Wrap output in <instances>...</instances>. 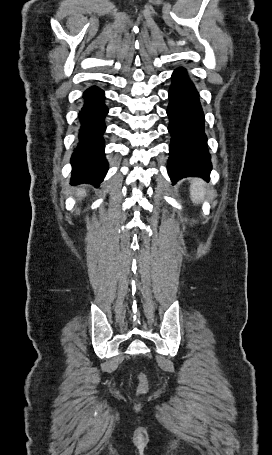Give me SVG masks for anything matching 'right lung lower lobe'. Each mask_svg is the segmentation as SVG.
<instances>
[{
  "label": "right lung lower lobe",
  "instance_id": "1",
  "mask_svg": "<svg viewBox=\"0 0 272 455\" xmlns=\"http://www.w3.org/2000/svg\"><path fill=\"white\" fill-rule=\"evenodd\" d=\"M84 105L80 111L81 128L79 143L71 157L72 184L90 183L99 185L108 170L104 156V140L106 129L104 117L108 108L104 104L103 90L93 86L83 95Z\"/></svg>",
  "mask_w": 272,
  "mask_h": 455
}]
</instances>
